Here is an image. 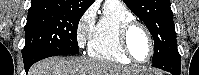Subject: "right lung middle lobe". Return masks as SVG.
<instances>
[{
    "mask_svg": "<svg viewBox=\"0 0 199 75\" xmlns=\"http://www.w3.org/2000/svg\"><path fill=\"white\" fill-rule=\"evenodd\" d=\"M84 11L57 6L28 10L22 55L38 52L41 59L78 54L77 27Z\"/></svg>",
    "mask_w": 199,
    "mask_h": 75,
    "instance_id": "obj_1",
    "label": "right lung middle lobe"
}]
</instances>
